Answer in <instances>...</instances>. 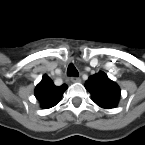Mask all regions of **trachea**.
Here are the masks:
<instances>
[{
	"mask_svg": "<svg viewBox=\"0 0 145 145\" xmlns=\"http://www.w3.org/2000/svg\"><path fill=\"white\" fill-rule=\"evenodd\" d=\"M67 75L68 76H73V77H78L79 73L76 67L73 64H69L67 68Z\"/></svg>",
	"mask_w": 145,
	"mask_h": 145,
	"instance_id": "obj_1",
	"label": "trachea"
}]
</instances>
